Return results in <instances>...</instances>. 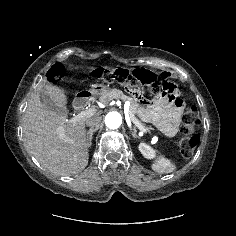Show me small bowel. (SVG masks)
<instances>
[{
	"label": "small bowel",
	"mask_w": 236,
	"mask_h": 236,
	"mask_svg": "<svg viewBox=\"0 0 236 236\" xmlns=\"http://www.w3.org/2000/svg\"><path fill=\"white\" fill-rule=\"evenodd\" d=\"M150 74L157 76L155 73ZM160 77L168 87L173 84L169 81L171 75L167 72L160 74ZM182 113V106L177 100L169 99L162 95L155 102L141 101V117L157 126L166 136H174L178 130L179 119Z\"/></svg>",
	"instance_id": "obj_1"
}]
</instances>
